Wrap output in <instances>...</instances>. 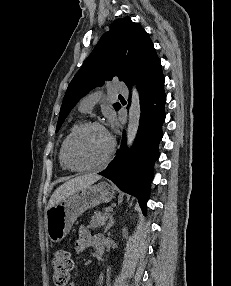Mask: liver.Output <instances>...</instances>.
<instances>
[{
    "label": "liver",
    "mask_w": 231,
    "mask_h": 286,
    "mask_svg": "<svg viewBox=\"0 0 231 286\" xmlns=\"http://www.w3.org/2000/svg\"><path fill=\"white\" fill-rule=\"evenodd\" d=\"M101 177L94 174H88V175H82L75 177L71 180H68L61 186H59L52 196L50 197V200L48 202L47 208L49 209L52 206L58 204L62 200H64L66 197L70 196L74 192L85 188L89 185H92L94 182L98 181Z\"/></svg>",
    "instance_id": "obj_1"
}]
</instances>
